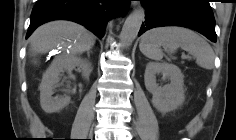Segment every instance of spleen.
<instances>
[{
  "label": "spleen",
  "instance_id": "obj_1",
  "mask_svg": "<svg viewBox=\"0 0 236 140\" xmlns=\"http://www.w3.org/2000/svg\"><path fill=\"white\" fill-rule=\"evenodd\" d=\"M170 53L178 48L188 51L202 68L212 69L214 51L205 39L190 29L183 27H159L147 31L141 38L140 51L149 59L160 61L163 58L161 47Z\"/></svg>",
  "mask_w": 236,
  "mask_h": 140
}]
</instances>
